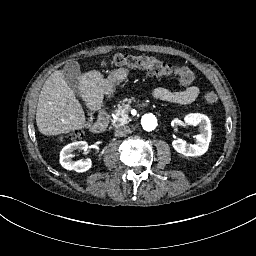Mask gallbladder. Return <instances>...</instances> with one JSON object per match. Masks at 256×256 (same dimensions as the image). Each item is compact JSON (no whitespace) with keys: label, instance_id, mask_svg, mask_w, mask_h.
<instances>
[{"label":"gallbladder","instance_id":"obj_1","mask_svg":"<svg viewBox=\"0 0 256 256\" xmlns=\"http://www.w3.org/2000/svg\"><path fill=\"white\" fill-rule=\"evenodd\" d=\"M63 74L65 80L70 85L71 89H75L79 83V77L81 76V70L79 63L76 60L68 61L63 68Z\"/></svg>","mask_w":256,"mask_h":256}]
</instances>
